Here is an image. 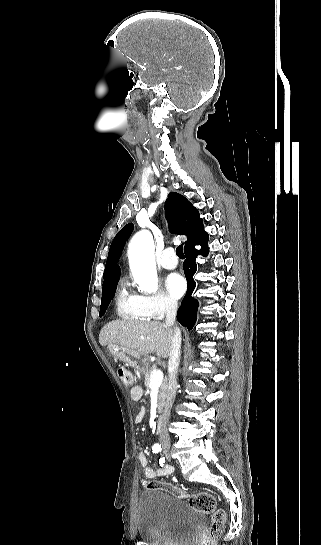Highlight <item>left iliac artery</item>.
I'll return each instance as SVG.
<instances>
[{"label":"left iliac artery","instance_id":"obj_1","mask_svg":"<svg viewBox=\"0 0 321 545\" xmlns=\"http://www.w3.org/2000/svg\"><path fill=\"white\" fill-rule=\"evenodd\" d=\"M164 462H165V458L164 457L160 458L159 463L161 466H163Z\"/></svg>","mask_w":321,"mask_h":545}]
</instances>
